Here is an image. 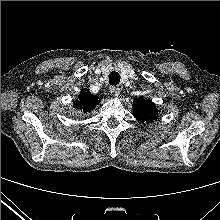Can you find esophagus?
Masks as SVG:
<instances>
[{"label":"esophagus","instance_id":"1","mask_svg":"<svg viewBox=\"0 0 220 220\" xmlns=\"http://www.w3.org/2000/svg\"><path fill=\"white\" fill-rule=\"evenodd\" d=\"M110 93H111L112 96L118 97L119 94H120V88L117 87V86H111L110 87Z\"/></svg>","mask_w":220,"mask_h":220}]
</instances>
